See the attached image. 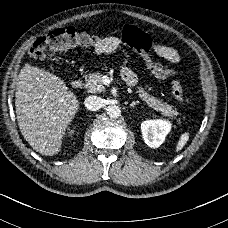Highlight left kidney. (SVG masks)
<instances>
[{
    "instance_id": "obj_1",
    "label": "left kidney",
    "mask_w": 228,
    "mask_h": 228,
    "mask_svg": "<svg viewBox=\"0 0 228 228\" xmlns=\"http://www.w3.org/2000/svg\"><path fill=\"white\" fill-rule=\"evenodd\" d=\"M171 125L167 121L153 120L141 124L142 136L150 148L158 147L165 139Z\"/></svg>"
}]
</instances>
